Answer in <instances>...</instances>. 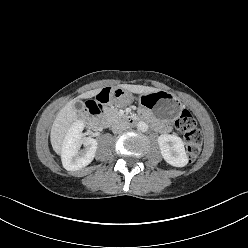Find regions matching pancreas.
I'll use <instances>...</instances> for the list:
<instances>
[{"mask_svg":"<svg viewBox=\"0 0 248 248\" xmlns=\"http://www.w3.org/2000/svg\"><path fill=\"white\" fill-rule=\"evenodd\" d=\"M119 116V113L116 109H112V108H109L106 112V117L107 119L112 122L114 121L115 119H117Z\"/></svg>","mask_w":248,"mask_h":248,"instance_id":"cf45deb5","label":"pancreas"}]
</instances>
